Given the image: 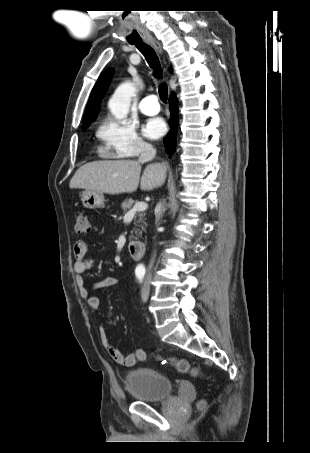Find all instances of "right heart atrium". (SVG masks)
Here are the masks:
<instances>
[{"mask_svg":"<svg viewBox=\"0 0 310 453\" xmlns=\"http://www.w3.org/2000/svg\"><path fill=\"white\" fill-rule=\"evenodd\" d=\"M98 134L104 146V154L108 157H134L149 147L137 133L136 126L129 121L106 119Z\"/></svg>","mask_w":310,"mask_h":453,"instance_id":"d8ad5b80","label":"right heart atrium"}]
</instances>
